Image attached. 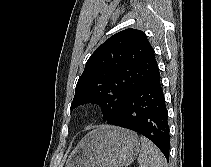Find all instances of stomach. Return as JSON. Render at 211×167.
Returning <instances> with one entry per match:
<instances>
[{
	"label": "stomach",
	"instance_id": "obj_1",
	"mask_svg": "<svg viewBox=\"0 0 211 167\" xmlns=\"http://www.w3.org/2000/svg\"><path fill=\"white\" fill-rule=\"evenodd\" d=\"M140 147L135 132L115 126L100 127L79 142L65 167H127Z\"/></svg>",
	"mask_w": 211,
	"mask_h": 167
}]
</instances>
